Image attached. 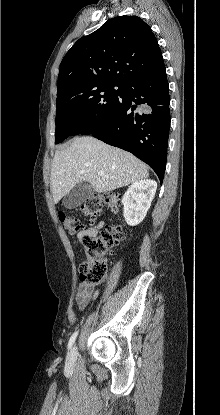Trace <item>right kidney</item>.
Instances as JSON below:
<instances>
[{
  "label": "right kidney",
  "instance_id": "right-kidney-1",
  "mask_svg": "<svg viewBox=\"0 0 220 415\" xmlns=\"http://www.w3.org/2000/svg\"><path fill=\"white\" fill-rule=\"evenodd\" d=\"M154 180H139L129 186L122 198L124 218L128 225L136 226L145 218L155 196Z\"/></svg>",
  "mask_w": 220,
  "mask_h": 415
}]
</instances>
